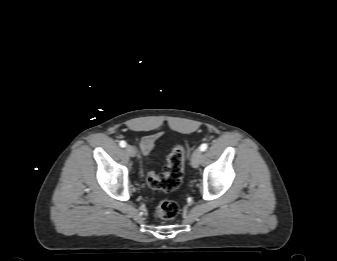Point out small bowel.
I'll return each mask as SVG.
<instances>
[{"label": "small bowel", "instance_id": "c3829d8e", "mask_svg": "<svg viewBox=\"0 0 337 261\" xmlns=\"http://www.w3.org/2000/svg\"><path fill=\"white\" fill-rule=\"evenodd\" d=\"M161 136L160 132L149 134L147 136H144L139 141V147L142 151V154L147 157L151 151L154 148V144L157 141V139Z\"/></svg>", "mask_w": 337, "mask_h": 261}]
</instances>
